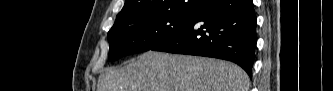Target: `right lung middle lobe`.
Here are the masks:
<instances>
[{
    "instance_id": "dd1d6c3e",
    "label": "right lung middle lobe",
    "mask_w": 333,
    "mask_h": 91,
    "mask_svg": "<svg viewBox=\"0 0 333 91\" xmlns=\"http://www.w3.org/2000/svg\"><path fill=\"white\" fill-rule=\"evenodd\" d=\"M212 0L200 5L205 7ZM197 13H160L113 25L108 32L110 61L148 51L187 25Z\"/></svg>"
}]
</instances>
